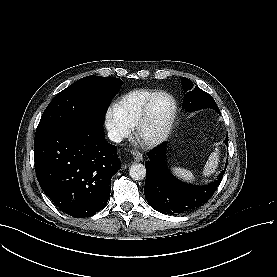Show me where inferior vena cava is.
I'll return each mask as SVG.
<instances>
[{"label": "inferior vena cava", "instance_id": "obj_1", "mask_svg": "<svg viewBox=\"0 0 277 277\" xmlns=\"http://www.w3.org/2000/svg\"><path fill=\"white\" fill-rule=\"evenodd\" d=\"M108 137L115 143H120L122 141V135L115 129H110L108 131Z\"/></svg>", "mask_w": 277, "mask_h": 277}]
</instances>
